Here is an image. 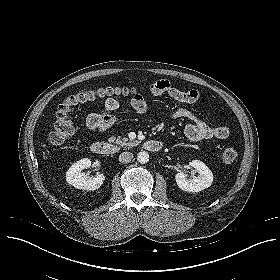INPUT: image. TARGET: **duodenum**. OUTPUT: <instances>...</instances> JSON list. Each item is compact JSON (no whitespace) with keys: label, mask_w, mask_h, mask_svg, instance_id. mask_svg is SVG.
I'll use <instances>...</instances> for the list:
<instances>
[{"label":"duodenum","mask_w":280,"mask_h":280,"mask_svg":"<svg viewBox=\"0 0 280 280\" xmlns=\"http://www.w3.org/2000/svg\"><path fill=\"white\" fill-rule=\"evenodd\" d=\"M142 147L151 153H159L162 150V143L156 139H148L142 143ZM91 150L96 155H111L115 153V148L106 142L95 141Z\"/></svg>","instance_id":"410a0bca"}]
</instances>
